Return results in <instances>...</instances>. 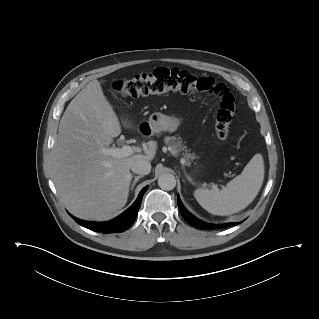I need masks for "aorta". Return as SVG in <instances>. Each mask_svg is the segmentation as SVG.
I'll list each match as a JSON object with an SVG mask.
<instances>
[{"label":"aorta","instance_id":"762f6f07","mask_svg":"<svg viewBox=\"0 0 319 319\" xmlns=\"http://www.w3.org/2000/svg\"><path fill=\"white\" fill-rule=\"evenodd\" d=\"M158 185L162 190H172L176 186V178L173 174L164 173L159 176Z\"/></svg>","mask_w":319,"mask_h":319}]
</instances>
